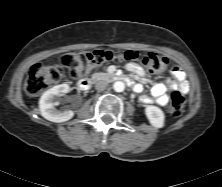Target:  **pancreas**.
<instances>
[{
    "label": "pancreas",
    "instance_id": "pancreas-1",
    "mask_svg": "<svg viewBox=\"0 0 222 187\" xmlns=\"http://www.w3.org/2000/svg\"><path fill=\"white\" fill-rule=\"evenodd\" d=\"M101 75L104 76V77H107V76H108V77H111L110 74H106V73H102Z\"/></svg>",
    "mask_w": 222,
    "mask_h": 187
}]
</instances>
